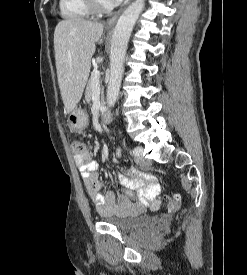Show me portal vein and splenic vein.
Wrapping results in <instances>:
<instances>
[{
    "mask_svg": "<svg viewBox=\"0 0 247 275\" xmlns=\"http://www.w3.org/2000/svg\"><path fill=\"white\" fill-rule=\"evenodd\" d=\"M91 77L93 78L94 80V84L97 86H99V78H100V72L95 69L92 73H91ZM93 84V85H94Z\"/></svg>",
    "mask_w": 247,
    "mask_h": 275,
    "instance_id": "obj_1",
    "label": "portal vein and splenic vein"
}]
</instances>
